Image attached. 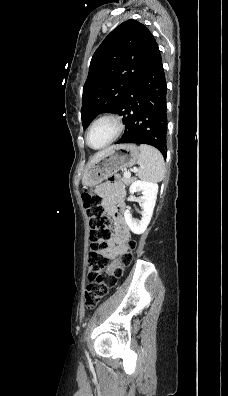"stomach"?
Wrapping results in <instances>:
<instances>
[{"label":"stomach","mask_w":228,"mask_h":396,"mask_svg":"<svg viewBox=\"0 0 228 396\" xmlns=\"http://www.w3.org/2000/svg\"><path fill=\"white\" fill-rule=\"evenodd\" d=\"M139 155V148L135 144L116 145L86 168L82 177L83 185L96 186L109 175L136 164Z\"/></svg>","instance_id":"obj_1"}]
</instances>
